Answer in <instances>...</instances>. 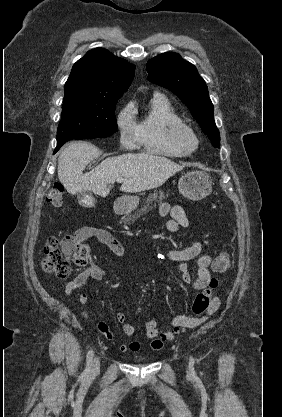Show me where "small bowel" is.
I'll return each mask as SVG.
<instances>
[{
  "mask_svg": "<svg viewBox=\"0 0 282 417\" xmlns=\"http://www.w3.org/2000/svg\"><path fill=\"white\" fill-rule=\"evenodd\" d=\"M159 214L162 217L170 216V220L166 223V228L171 233H179L181 229L189 225V219L180 205L164 202L159 207ZM74 238L78 241H85L91 238L97 239L101 244L107 246L109 250L118 258H123L126 254L125 244L118 238L114 237L109 231L96 226H82L74 233ZM202 244L199 241H194L189 246L182 249L161 248L162 256L172 262L178 263V271L181 280L192 285L196 290H204L211 281L210 263L211 256L201 254ZM194 260L196 275L190 273L189 262ZM105 278L104 272L97 266H90L84 271L75 276L72 280L66 283L64 292L69 301L71 295L76 290L81 289L89 280L102 282ZM81 305L86 306L88 297L85 293L79 296ZM220 306L219 297L215 296L207 310L206 316L189 317L187 315H175L170 320L172 331H162L158 327V322L155 319H149L144 322V334L151 340H169L171 341L177 334L188 328L199 326L207 316L215 313ZM116 319L122 324L123 332L127 336H133L136 333V327L133 324L126 322V315L124 312H118ZM97 329L109 341L114 340L113 333L109 330L108 325L99 321ZM122 353H136L141 350V343L138 340H130L121 343L119 347Z\"/></svg>",
  "mask_w": 282,
  "mask_h": 417,
  "instance_id": "obj_1",
  "label": "small bowel"
}]
</instances>
